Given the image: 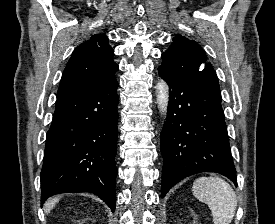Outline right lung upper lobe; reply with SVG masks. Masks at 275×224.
Instances as JSON below:
<instances>
[{"instance_id": "obj_1", "label": "right lung upper lobe", "mask_w": 275, "mask_h": 224, "mask_svg": "<svg viewBox=\"0 0 275 224\" xmlns=\"http://www.w3.org/2000/svg\"><path fill=\"white\" fill-rule=\"evenodd\" d=\"M103 34H95L72 53L63 72L57 98L89 91L114 82L118 65Z\"/></svg>"}]
</instances>
